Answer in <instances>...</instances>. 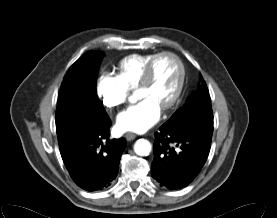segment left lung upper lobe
<instances>
[{"instance_id": "5c2ea615", "label": "left lung upper lobe", "mask_w": 277, "mask_h": 218, "mask_svg": "<svg viewBox=\"0 0 277 218\" xmlns=\"http://www.w3.org/2000/svg\"><path fill=\"white\" fill-rule=\"evenodd\" d=\"M193 122H213L211 98L206 82L203 79L197 91L188 98L183 107L177 110L166 123L185 125Z\"/></svg>"}]
</instances>
